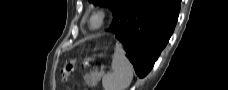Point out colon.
Returning a JSON list of instances; mask_svg holds the SVG:
<instances>
[{
	"instance_id": "colon-1",
	"label": "colon",
	"mask_w": 228,
	"mask_h": 90,
	"mask_svg": "<svg viewBox=\"0 0 228 90\" xmlns=\"http://www.w3.org/2000/svg\"><path fill=\"white\" fill-rule=\"evenodd\" d=\"M76 63H77V59L74 58V59L69 60L65 64V66L63 67V69H62V77H63V80L65 82H68L69 81L70 74H71L74 66L76 65Z\"/></svg>"
}]
</instances>
